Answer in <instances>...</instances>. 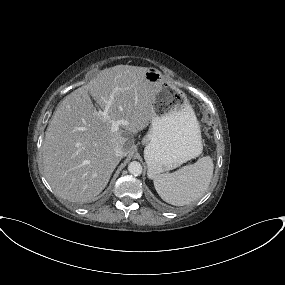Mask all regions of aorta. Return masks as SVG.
Wrapping results in <instances>:
<instances>
[{
  "mask_svg": "<svg viewBox=\"0 0 285 285\" xmlns=\"http://www.w3.org/2000/svg\"><path fill=\"white\" fill-rule=\"evenodd\" d=\"M142 165L137 161H132L128 165V171L133 176H140L142 174Z\"/></svg>",
  "mask_w": 285,
  "mask_h": 285,
  "instance_id": "obj_1",
  "label": "aorta"
}]
</instances>
